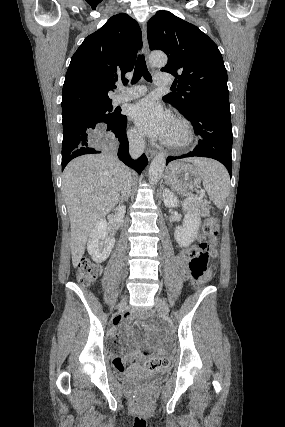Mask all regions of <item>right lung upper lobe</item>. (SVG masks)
<instances>
[{
    "instance_id": "right-lung-upper-lobe-1",
    "label": "right lung upper lobe",
    "mask_w": 285,
    "mask_h": 427,
    "mask_svg": "<svg viewBox=\"0 0 285 427\" xmlns=\"http://www.w3.org/2000/svg\"><path fill=\"white\" fill-rule=\"evenodd\" d=\"M142 34L127 14L111 17L71 58L62 92V116L112 100L108 92L134 67Z\"/></svg>"
}]
</instances>
